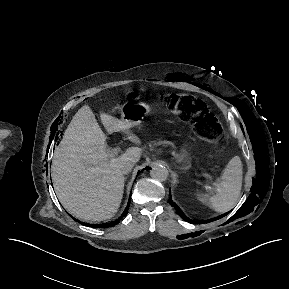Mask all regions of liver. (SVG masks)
<instances>
[{"mask_svg": "<svg viewBox=\"0 0 289 289\" xmlns=\"http://www.w3.org/2000/svg\"><path fill=\"white\" fill-rule=\"evenodd\" d=\"M101 122L109 132H126L122 121L101 112ZM137 144L134 134L128 135ZM139 147L128 148L118 158H110L106 137L88 105L82 106L68 125L63 139L54 151L51 177L62 206L84 221L111 219L118 211L124 175L120 166L127 161L138 162Z\"/></svg>", "mask_w": 289, "mask_h": 289, "instance_id": "liver-1", "label": "liver"}]
</instances>
